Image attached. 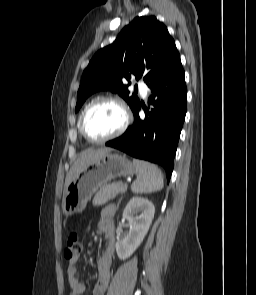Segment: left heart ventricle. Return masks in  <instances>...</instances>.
I'll return each mask as SVG.
<instances>
[{
	"instance_id": "left-heart-ventricle-1",
	"label": "left heart ventricle",
	"mask_w": 256,
	"mask_h": 295,
	"mask_svg": "<svg viewBox=\"0 0 256 295\" xmlns=\"http://www.w3.org/2000/svg\"><path fill=\"white\" fill-rule=\"evenodd\" d=\"M122 123V111L112 103H102L89 113L86 129L92 137L104 138L116 132Z\"/></svg>"
}]
</instances>
